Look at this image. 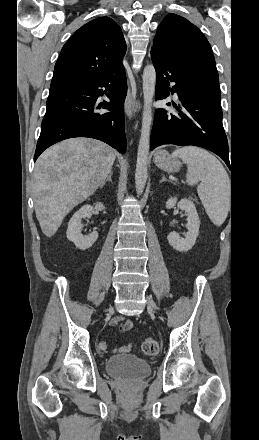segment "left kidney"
I'll return each mask as SVG.
<instances>
[{"label":"left kidney","instance_id":"left-kidney-1","mask_svg":"<svg viewBox=\"0 0 259 440\" xmlns=\"http://www.w3.org/2000/svg\"><path fill=\"white\" fill-rule=\"evenodd\" d=\"M185 211L188 222L186 224L187 232L185 238L180 237L179 234L175 232H171L168 234L167 239L169 244L177 251L186 252L189 251L193 245L199 234L200 220L195 207V204L189 199H181L177 202L176 197H171L166 202V208L171 209L176 206Z\"/></svg>","mask_w":259,"mask_h":440}]
</instances>
